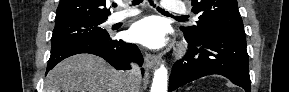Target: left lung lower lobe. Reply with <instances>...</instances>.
Returning a JSON list of instances; mask_svg holds the SVG:
<instances>
[{
    "label": "left lung lower lobe",
    "instance_id": "obj_1",
    "mask_svg": "<svg viewBox=\"0 0 289 92\" xmlns=\"http://www.w3.org/2000/svg\"><path fill=\"white\" fill-rule=\"evenodd\" d=\"M185 57L174 63L169 92L205 75L220 74L250 92L248 54L244 34L212 31L198 41L187 39Z\"/></svg>",
    "mask_w": 289,
    "mask_h": 92
}]
</instances>
